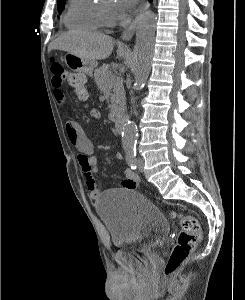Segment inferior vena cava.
Masks as SVG:
<instances>
[{
	"label": "inferior vena cava",
	"mask_w": 245,
	"mask_h": 300,
	"mask_svg": "<svg viewBox=\"0 0 245 300\" xmlns=\"http://www.w3.org/2000/svg\"><path fill=\"white\" fill-rule=\"evenodd\" d=\"M131 103H132V105L135 103L134 97H131ZM133 106H134V105H133ZM134 113H135V110H134Z\"/></svg>",
	"instance_id": "obj_1"
}]
</instances>
